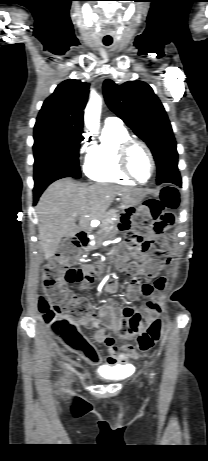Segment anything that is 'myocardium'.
<instances>
[{
    "mask_svg": "<svg viewBox=\"0 0 208 461\" xmlns=\"http://www.w3.org/2000/svg\"><path fill=\"white\" fill-rule=\"evenodd\" d=\"M135 147H141L147 153V155L149 157V160H150V163H151V174H150L149 178L146 181L139 180L133 174L132 170L130 169L129 157H130L131 151ZM118 164H119L120 169L122 170V172L126 176H128L134 182H137L139 184L148 183L153 178V176H154V174L156 172V162H155V158H154V155H153L150 147L144 141H141V140H138V139L130 138V139L124 141L121 144V146L119 147V151H118Z\"/></svg>",
    "mask_w": 208,
    "mask_h": 461,
    "instance_id": "myocardium-1",
    "label": "myocardium"
}]
</instances>
